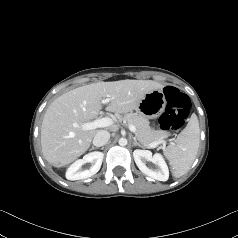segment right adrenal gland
Here are the masks:
<instances>
[{"label": "right adrenal gland", "mask_w": 238, "mask_h": 238, "mask_svg": "<svg viewBox=\"0 0 238 238\" xmlns=\"http://www.w3.org/2000/svg\"><path fill=\"white\" fill-rule=\"evenodd\" d=\"M93 149H97V147H92L91 150H93Z\"/></svg>", "instance_id": "1"}]
</instances>
